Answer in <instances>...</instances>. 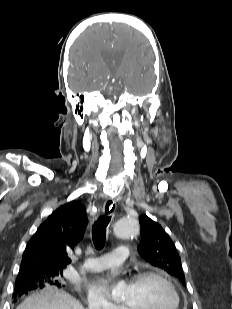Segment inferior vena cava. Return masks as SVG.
<instances>
[{"instance_id": "1", "label": "inferior vena cava", "mask_w": 232, "mask_h": 309, "mask_svg": "<svg viewBox=\"0 0 232 309\" xmlns=\"http://www.w3.org/2000/svg\"><path fill=\"white\" fill-rule=\"evenodd\" d=\"M88 309H100V305L98 302H92L89 304V308Z\"/></svg>"}]
</instances>
